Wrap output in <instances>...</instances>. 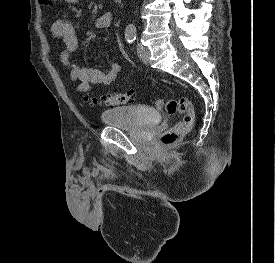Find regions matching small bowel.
I'll use <instances>...</instances> for the list:
<instances>
[{"mask_svg": "<svg viewBox=\"0 0 275 263\" xmlns=\"http://www.w3.org/2000/svg\"><path fill=\"white\" fill-rule=\"evenodd\" d=\"M65 1L76 3L78 0ZM112 20L113 14L106 12L96 17L94 25L98 29H106L110 27ZM51 30L64 46V50L60 55V62L68 70L70 79L78 83L79 91L90 92L95 86L109 85L121 72L122 67L118 61H112L107 72L97 68L80 66L72 61V55L79 47V40L75 28L69 19H57L53 23Z\"/></svg>", "mask_w": 275, "mask_h": 263, "instance_id": "obj_1", "label": "small bowel"}]
</instances>
